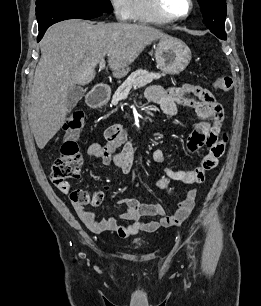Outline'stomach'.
Listing matches in <instances>:
<instances>
[{
  "label": "stomach",
  "mask_w": 261,
  "mask_h": 306,
  "mask_svg": "<svg viewBox=\"0 0 261 306\" xmlns=\"http://www.w3.org/2000/svg\"><path fill=\"white\" fill-rule=\"evenodd\" d=\"M191 57L189 47L182 40L170 36L161 38L155 51L157 66L168 74L184 71Z\"/></svg>",
  "instance_id": "stomach-1"
}]
</instances>
